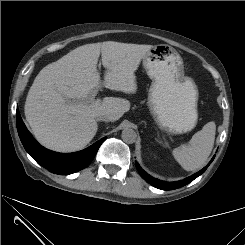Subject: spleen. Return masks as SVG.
Wrapping results in <instances>:
<instances>
[{
	"label": "spleen",
	"instance_id": "obj_1",
	"mask_svg": "<svg viewBox=\"0 0 245 245\" xmlns=\"http://www.w3.org/2000/svg\"><path fill=\"white\" fill-rule=\"evenodd\" d=\"M216 125L208 122L202 130L195 133L188 144L175 148L172 152L176 161L186 171H194L203 167L215 141Z\"/></svg>",
	"mask_w": 245,
	"mask_h": 245
}]
</instances>
